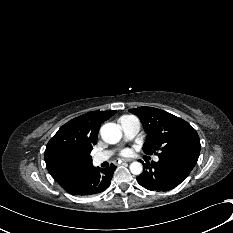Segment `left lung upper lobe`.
<instances>
[{
    "mask_svg": "<svg viewBox=\"0 0 233 233\" xmlns=\"http://www.w3.org/2000/svg\"><path fill=\"white\" fill-rule=\"evenodd\" d=\"M129 112L139 117L147 133L143 146L146 153L159 150V158L174 161L190 170L194 168L201 145L196 130L189 123L153 107L134 108Z\"/></svg>",
    "mask_w": 233,
    "mask_h": 233,
    "instance_id": "1",
    "label": "left lung upper lobe"
}]
</instances>
